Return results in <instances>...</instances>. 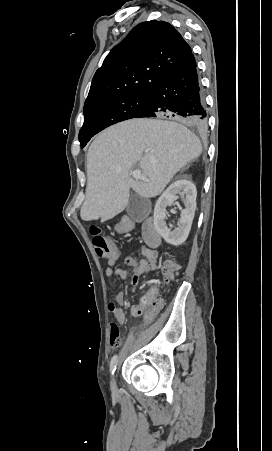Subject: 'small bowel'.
Here are the masks:
<instances>
[{
	"mask_svg": "<svg viewBox=\"0 0 272 451\" xmlns=\"http://www.w3.org/2000/svg\"><path fill=\"white\" fill-rule=\"evenodd\" d=\"M139 249L144 257V261H148L150 263V268L148 269L147 274L150 272L156 271L158 268V264H159L158 252L155 249H153L147 245H144V244H141L139 246ZM114 257H115V261L119 260V255H114ZM131 265H132V263H131ZM147 274H132V272H129L125 267H122L120 270H111L109 268V264L105 271V275L108 279H111V278H119L122 280L129 279L130 285H131V291L133 293L136 292L138 280L141 277L146 276ZM147 295H148V293H147ZM125 303H126L125 294L122 291H119V292H116L114 295V302H109L107 305L108 311L111 314H113V316L115 317L116 321L119 324H123L126 321L125 312L122 308L125 305ZM132 314L134 316H140L143 313H135L134 308L132 307Z\"/></svg>",
	"mask_w": 272,
	"mask_h": 451,
	"instance_id": "c3829d8e",
	"label": "small bowel"
}]
</instances>
